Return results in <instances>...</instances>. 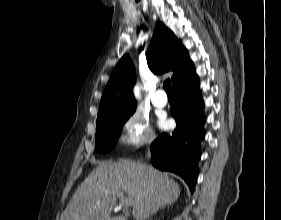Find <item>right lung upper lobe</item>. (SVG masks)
<instances>
[{"mask_svg":"<svg viewBox=\"0 0 281 220\" xmlns=\"http://www.w3.org/2000/svg\"><path fill=\"white\" fill-rule=\"evenodd\" d=\"M147 59L149 68L156 72L173 71V88L198 78L188 51L161 22L155 28ZM135 79L132 60L129 55H124L117 63L102 95L97 123L135 111L136 101L133 95Z\"/></svg>","mask_w":281,"mask_h":220,"instance_id":"right-lung-upper-lobe-1","label":"right lung upper lobe"}]
</instances>
